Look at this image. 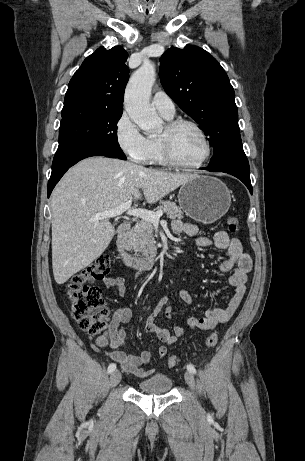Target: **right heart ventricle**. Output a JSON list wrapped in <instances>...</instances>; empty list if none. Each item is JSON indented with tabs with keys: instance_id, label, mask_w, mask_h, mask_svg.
Listing matches in <instances>:
<instances>
[{
	"instance_id": "e07e8e85",
	"label": "right heart ventricle",
	"mask_w": 305,
	"mask_h": 461,
	"mask_svg": "<svg viewBox=\"0 0 305 461\" xmlns=\"http://www.w3.org/2000/svg\"><path fill=\"white\" fill-rule=\"evenodd\" d=\"M164 118L170 120L171 118L165 117ZM146 163L149 164H156V165H168L169 163L165 160L161 145L159 142V138H150L149 139V152H148V157L146 160Z\"/></svg>"
}]
</instances>
